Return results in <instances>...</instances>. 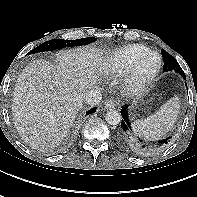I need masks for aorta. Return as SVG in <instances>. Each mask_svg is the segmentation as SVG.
<instances>
[{
    "mask_svg": "<svg viewBox=\"0 0 197 197\" xmlns=\"http://www.w3.org/2000/svg\"><path fill=\"white\" fill-rule=\"evenodd\" d=\"M105 119L110 125H117L121 122V115L116 110H109L105 115Z\"/></svg>",
    "mask_w": 197,
    "mask_h": 197,
    "instance_id": "obj_1",
    "label": "aorta"
}]
</instances>
